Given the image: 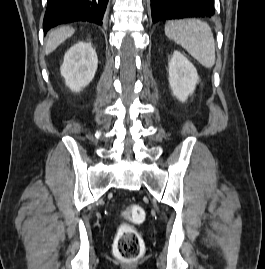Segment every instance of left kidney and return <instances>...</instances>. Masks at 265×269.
I'll return each instance as SVG.
<instances>
[{
	"instance_id": "1",
	"label": "left kidney",
	"mask_w": 265,
	"mask_h": 269,
	"mask_svg": "<svg viewBox=\"0 0 265 269\" xmlns=\"http://www.w3.org/2000/svg\"><path fill=\"white\" fill-rule=\"evenodd\" d=\"M169 85L173 95L185 102L192 95L199 76L194 65L180 52L174 51L169 64Z\"/></svg>"
}]
</instances>
